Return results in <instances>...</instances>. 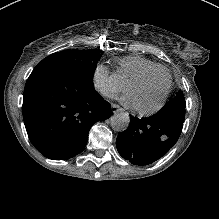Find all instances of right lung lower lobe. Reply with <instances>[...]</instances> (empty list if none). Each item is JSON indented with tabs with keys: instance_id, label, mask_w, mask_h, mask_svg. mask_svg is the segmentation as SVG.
I'll list each match as a JSON object with an SVG mask.
<instances>
[{
	"instance_id": "1",
	"label": "right lung lower lobe",
	"mask_w": 219,
	"mask_h": 219,
	"mask_svg": "<svg viewBox=\"0 0 219 219\" xmlns=\"http://www.w3.org/2000/svg\"><path fill=\"white\" fill-rule=\"evenodd\" d=\"M22 109L31 142L51 159L81 152L92 125L111 114L110 104L94 90L92 80L67 65L31 74Z\"/></svg>"
}]
</instances>
